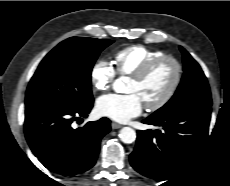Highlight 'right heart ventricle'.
Returning a JSON list of instances; mask_svg holds the SVG:
<instances>
[{
    "label": "right heart ventricle",
    "instance_id": "e07e8e85",
    "mask_svg": "<svg viewBox=\"0 0 230 186\" xmlns=\"http://www.w3.org/2000/svg\"><path fill=\"white\" fill-rule=\"evenodd\" d=\"M163 55L164 53L157 49L131 45L117 51L114 54L113 63L120 75L132 76L147 62Z\"/></svg>",
    "mask_w": 230,
    "mask_h": 186
}]
</instances>
